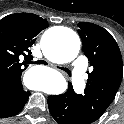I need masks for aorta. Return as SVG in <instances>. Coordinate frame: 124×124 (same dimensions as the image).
I'll return each instance as SVG.
<instances>
[{
    "mask_svg": "<svg viewBox=\"0 0 124 124\" xmlns=\"http://www.w3.org/2000/svg\"><path fill=\"white\" fill-rule=\"evenodd\" d=\"M42 49L48 59L58 63L72 61L79 53L80 39L71 29L60 28L55 36L46 34L42 39ZM33 90H44V84L39 76H33L27 82ZM66 82L60 79L59 91L66 88Z\"/></svg>",
    "mask_w": 124,
    "mask_h": 124,
    "instance_id": "obj_1",
    "label": "aorta"
}]
</instances>
